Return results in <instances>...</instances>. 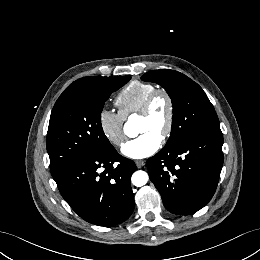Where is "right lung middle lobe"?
<instances>
[{
  "mask_svg": "<svg viewBox=\"0 0 260 260\" xmlns=\"http://www.w3.org/2000/svg\"><path fill=\"white\" fill-rule=\"evenodd\" d=\"M130 79L105 77L86 94L55 103L47 133L52 174L75 158L103 155L114 148L103 132L101 112L110 94Z\"/></svg>",
  "mask_w": 260,
  "mask_h": 260,
  "instance_id": "right-lung-middle-lobe-1",
  "label": "right lung middle lobe"
}]
</instances>
